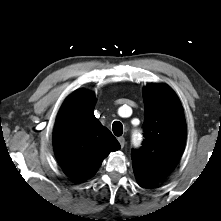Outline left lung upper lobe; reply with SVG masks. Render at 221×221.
I'll use <instances>...</instances> for the list:
<instances>
[{"label": "left lung upper lobe", "mask_w": 221, "mask_h": 221, "mask_svg": "<svg viewBox=\"0 0 221 221\" xmlns=\"http://www.w3.org/2000/svg\"><path fill=\"white\" fill-rule=\"evenodd\" d=\"M144 143L132 151L133 169L160 181L176 167L185 147L186 122L175 92L164 84H150L143 90Z\"/></svg>", "instance_id": "1"}]
</instances>
